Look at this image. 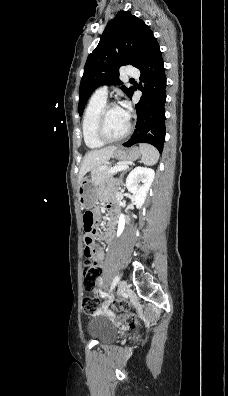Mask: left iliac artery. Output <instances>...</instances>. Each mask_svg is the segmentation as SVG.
<instances>
[{
	"mask_svg": "<svg viewBox=\"0 0 228 396\" xmlns=\"http://www.w3.org/2000/svg\"><path fill=\"white\" fill-rule=\"evenodd\" d=\"M119 276L117 275V276H115V278L113 279V282H112V284H111V287H110V291H112L114 288H115V286L118 284V282H119Z\"/></svg>",
	"mask_w": 228,
	"mask_h": 396,
	"instance_id": "left-iliac-artery-1",
	"label": "left iliac artery"
}]
</instances>
